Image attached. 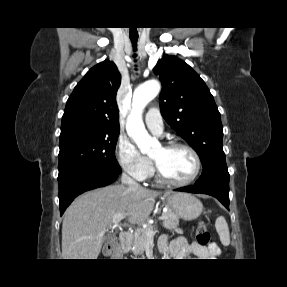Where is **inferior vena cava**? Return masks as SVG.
<instances>
[{
	"label": "inferior vena cava",
	"mask_w": 287,
	"mask_h": 287,
	"mask_svg": "<svg viewBox=\"0 0 287 287\" xmlns=\"http://www.w3.org/2000/svg\"><path fill=\"white\" fill-rule=\"evenodd\" d=\"M121 182H122V184H127L128 187H130V188H137V189L142 188L139 183H137L135 180L130 178L125 173H123L121 176Z\"/></svg>",
	"instance_id": "obj_1"
}]
</instances>
